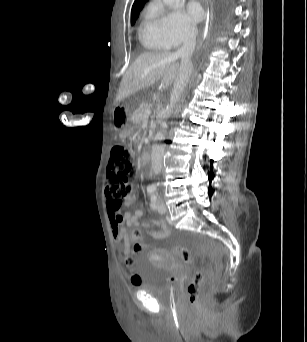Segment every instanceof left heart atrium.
Masks as SVG:
<instances>
[{
	"instance_id": "left-heart-atrium-1",
	"label": "left heart atrium",
	"mask_w": 307,
	"mask_h": 342,
	"mask_svg": "<svg viewBox=\"0 0 307 342\" xmlns=\"http://www.w3.org/2000/svg\"><path fill=\"white\" fill-rule=\"evenodd\" d=\"M202 9L197 4H190L184 12V21L191 28L195 27L196 24L202 19Z\"/></svg>"
}]
</instances>
